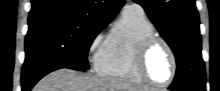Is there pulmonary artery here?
I'll use <instances>...</instances> for the list:
<instances>
[{
    "label": "pulmonary artery",
    "mask_w": 220,
    "mask_h": 91,
    "mask_svg": "<svg viewBox=\"0 0 220 91\" xmlns=\"http://www.w3.org/2000/svg\"><path fill=\"white\" fill-rule=\"evenodd\" d=\"M131 9H137V10H140V7L137 6V5H133L131 8L127 9V10H131Z\"/></svg>",
    "instance_id": "1"
}]
</instances>
